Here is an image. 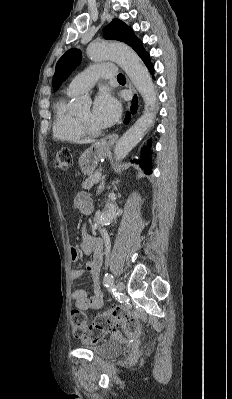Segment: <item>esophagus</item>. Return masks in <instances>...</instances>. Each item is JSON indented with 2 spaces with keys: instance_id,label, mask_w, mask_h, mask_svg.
<instances>
[{
  "instance_id": "34e87169",
  "label": "esophagus",
  "mask_w": 232,
  "mask_h": 399,
  "mask_svg": "<svg viewBox=\"0 0 232 399\" xmlns=\"http://www.w3.org/2000/svg\"><path fill=\"white\" fill-rule=\"evenodd\" d=\"M127 85L128 88L134 92V88L129 81L127 82ZM117 139H118V134H110L99 140L97 142V145L108 148L111 147L117 141Z\"/></svg>"
}]
</instances>
